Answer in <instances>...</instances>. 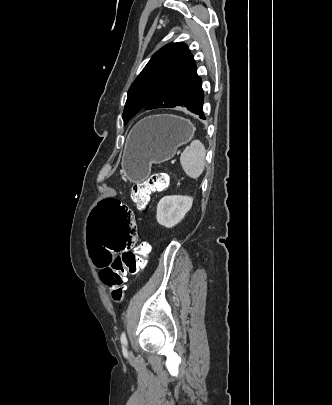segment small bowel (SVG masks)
<instances>
[{"mask_svg": "<svg viewBox=\"0 0 332 405\" xmlns=\"http://www.w3.org/2000/svg\"><path fill=\"white\" fill-rule=\"evenodd\" d=\"M134 220H135V218H134ZM135 227H137V224H136V220H135ZM138 237V236H137ZM116 257H112V259H115Z\"/></svg>", "mask_w": 332, "mask_h": 405, "instance_id": "obj_1", "label": "small bowel"}]
</instances>
